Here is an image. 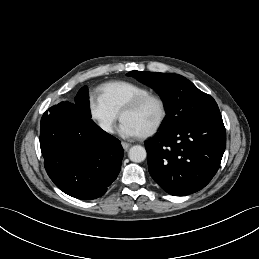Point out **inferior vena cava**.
I'll use <instances>...</instances> for the list:
<instances>
[{
  "instance_id": "1",
  "label": "inferior vena cava",
  "mask_w": 259,
  "mask_h": 259,
  "mask_svg": "<svg viewBox=\"0 0 259 259\" xmlns=\"http://www.w3.org/2000/svg\"><path fill=\"white\" fill-rule=\"evenodd\" d=\"M100 127L105 130L106 132H111V125L109 123H101Z\"/></svg>"
}]
</instances>
